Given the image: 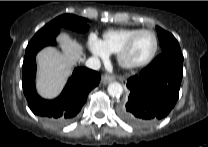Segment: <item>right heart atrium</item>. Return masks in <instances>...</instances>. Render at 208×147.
<instances>
[{"label":"right heart atrium","mask_w":208,"mask_h":147,"mask_svg":"<svg viewBox=\"0 0 208 147\" xmlns=\"http://www.w3.org/2000/svg\"><path fill=\"white\" fill-rule=\"evenodd\" d=\"M88 46L90 51L97 58L105 59L109 55V52L105 47L103 41L93 33H91L88 37Z\"/></svg>","instance_id":"right-heart-atrium-1"}]
</instances>
